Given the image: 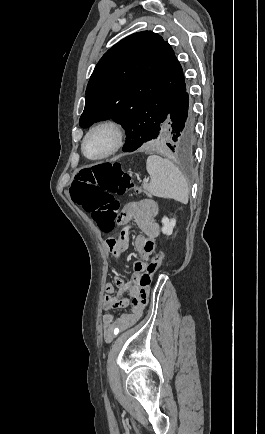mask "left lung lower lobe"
I'll return each instance as SVG.
<instances>
[{
  "instance_id": "left-lung-lower-lobe-1",
  "label": "left lung lower lobe",
  "mask_w": 265,
  "mask_h": 434,
  "mask_svg": "<svg viewBox=\"0 0 265 434\" xmlns=\"http://www.w3.org/2000/svg\"><path fill=\"white\" fill-rule=\"evenodd\" d=\"M160 135L159 148L188 155L195 145V125L189 112V99L186 85L172 102L161 118V124L154 128L137 130L126 138L124 152H133L144 143L156 139Z\"/></svg>"
}]
</instances>
